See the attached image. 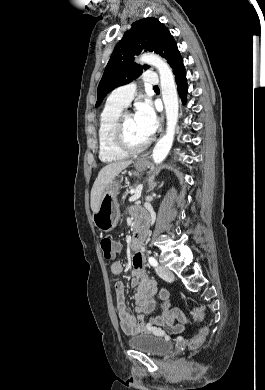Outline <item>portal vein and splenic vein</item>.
<instances>
[{
    "mask_svg": "<svg viewBox=\"0 0 265 390\" xmlns=\"http://www.w3.org/2000/svg\"><path fill=\"white\" fill-rule=\"evenodd\" d=\"M142 189H143V185L140 184L136 187L135 190H131V193L133 194V196H131L129 198V201H136L138 200L140 197H141V193H142Z\"/></svg>",
    "mask_w": 265,
    "mask_h": 390,
    "instance_id": "18ae733b",
    "label": "portal vein and splenic vein"
}]
</instances>
